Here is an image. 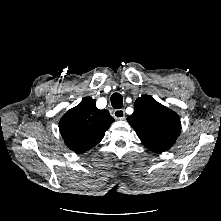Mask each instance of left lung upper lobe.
<instances>
[{
  "mask_svg": "<svg viewBox=\"0 0 221 221\" xmlns=\"http://www.w3.org/2000/svg\"><path fill=\"white\" fill-rule=\"evenodd\" d=\"M127 121L144 146L157 153L170 149L181 132L179 116L149 95L136 99Z\"/></svg>",
  "mask_w": 221,
  "mask_h": 221,
  "instance_id": "obj_1",
  "label": "left lung upper lobe"
}]
</instances>
